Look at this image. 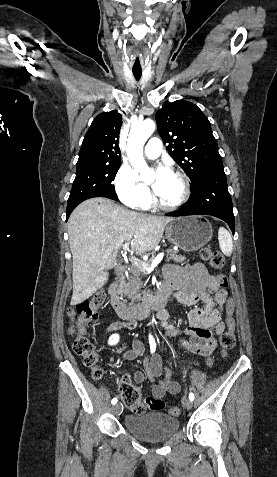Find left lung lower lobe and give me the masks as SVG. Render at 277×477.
<instances>
[{"mask_svg": "<svg viewBox=\"0 0 277 477\" xmlns=\"http://www.w3.org/2000/svg\"><path fill=\"white\" fill-rule=\"evenodd\" d=\"M191 201L183 209L168 213L167 216H186L195 214L212 215L224 220L235 232L233 205L227 189L223 165L206 169L192 185Z\"/></svg>", "mask_w": 277, "mask_h": 477, "instance_id": "left-lung-lower-lobe-1", "label": "left lung lower lobe"}]
</instances>
